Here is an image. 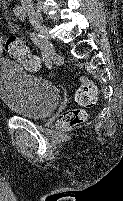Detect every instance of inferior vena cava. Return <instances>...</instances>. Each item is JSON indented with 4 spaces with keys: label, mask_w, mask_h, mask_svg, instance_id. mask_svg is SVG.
<instances>
[{
    "label": "inferior vena cava",
    "mask_w": 123,
    "mask_h": 201,
    "mask_svg": "<svg viewBox=\"0 0 123 201\" xmlns=\"http://www.w3.org/2000/svg\"><path fill=\"white\" fill-rule=\"evenodd\" d=\"M20 1L25 6H29V7L32 6V0H20Z\"/></svg>",
    "instance_id": "1"
}]
</instances>
